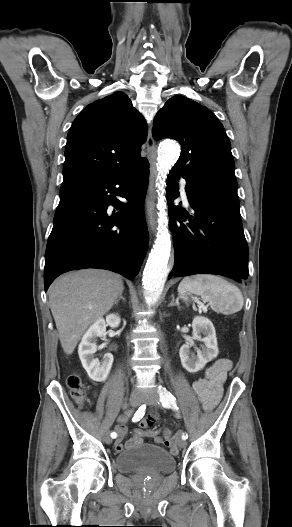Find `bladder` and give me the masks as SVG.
<instances>
[{"instance_id": "bladder-1", "label": "bladder", "mask_w": 292, "mask_h": 527, "mask_svg": "<svg viewBox=\"0 0 292 527\" xmlns=\"http://www.w3.org/2000/svg\"><path fill=\"white\" fill-rule=\"evenodd\" d=\"M175 466V457L167 449L153 444L131 446L115 459V467L122 473H169Z\"/></svg>"}]
</instances>
